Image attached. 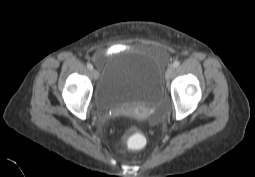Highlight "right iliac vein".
<instances>
[{
	"instance_id": "63e3f726",
	"label": "right iliac vein",
	"mask_w": 255,
	"mask_h": 177,
	"mask_svg": "<svg viewBox=\"0 0 255 177\" xmlns=\"http://www.w3.org/2000/svg\"><path fill=\"white\" fill-rule=\"evenodd\" d=\"M91 75H92V77H93L94 80H97V79L99 78V73H98V71L95 70V69H92V70H91Z\"/></svg>"
}]
</instances>
